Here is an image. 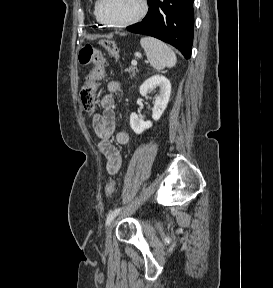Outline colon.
Here are the masks:
<instances>
[{
    "instance_id": "1",
    "label": "colon",
    "mask_w": 273,
    "mask_h": 288,
    "mask_svg": "<svg viewBox=\"0 0 273 288\" xmlns=\"http://www.w3.org/2000/svg\"><path fill=\"white\" fill-rule=\"evenodd\" d=\"M105 50L114 58L119 57V50L113 41L104 43ZM79 62L83 65H93L91 72L87 75L86 81L80 90V101L83 109L92 112L95 107V82L104 76L105 59L102 52L96 47L86 44L79 52ZM117 193V183L110 179L105 186L107 198L113 199Z\"/></svg>"
}]
</instances>
